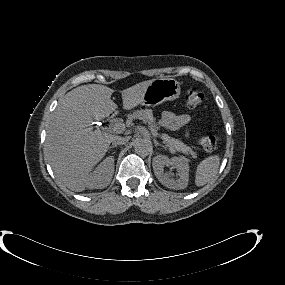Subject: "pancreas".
I'll return each instance as SVG.
<instances>
[{
  "label": "pancreas",
  "instance_id": "cf45deb5",
  "mask_svg": "<svg viewBox=\"0 0 285 285\" xmlns=\"http://www.w3.org/2000/svg\"><path fill=\"white\" fill-rule=\"evenodd\" d=\"M129 120L140 119L148 123L149 128L153 135H158L159 126L156 124V118L153 116L151 109H140L128 116ZM163 143L172 150L181 152L186 155H191L193 158L197 157V153L193 151L189 146L185 145L180 140L169 136L166 133L159 135Z\"/></svg>",
  "mask_w": 285,
  "mask_h": 285
}]
</instances>
